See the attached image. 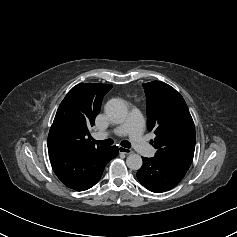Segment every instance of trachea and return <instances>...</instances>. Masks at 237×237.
Returning a JSON list of instances; mask_svg holds the SVG:
<instances>
[{
    "mask_svg": "<svg viewBox=\"0 0 237 237\" xmlns=\"http://www.w3.org/2000/svg\"><path fill=\"white\" fill-rule=\"evenodd\" d=\"M94 143L101 145V146H110L113 144V140L112 139H106V140H94ZM121 145L125 148H130L131 144L128 141H122Z\"/></svg>",
    "mask_w": 237,
    "mask_h": 237,
    "instance_id": "obj_1",
    "label": "trachea"
}]
</instances>
